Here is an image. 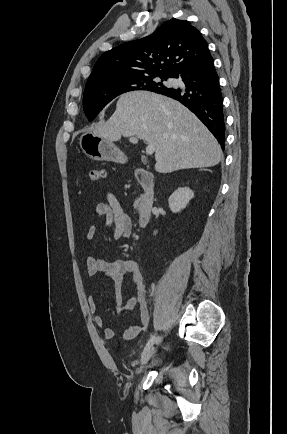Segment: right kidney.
I'll use <instances>...</instances> for the list:
<instances>
[{
	"label": "right kidney",
	"mask_w": 287,
	"mask_h": 434,
	"mask_svg": "<svg viewBox=\"0 0 287 434\" xmlns=\"http://www.w3.org/2000/svg\"><path fill=\"white\" fill-rule=\"evenodd\" d=\"M193 197L194 192L189 187L178 188L168 199L170 210L173 213L180 212Z\"/></svg>",
	"instance_id": "right-kidney-1"
}]
</instances>
